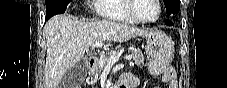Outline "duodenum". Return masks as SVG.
<instances>
[{"label":"duodenum","instance_id":"obj_1","mask_svg":"<svg viewBox=\"0 0 227 88\" xmlns=\"http://www.w3.org/2000/svg\"><path fill=\"white\" fill-rule=\"evenodd\" d=\"M97 64V59L96 58H90L86 61V66L88 68H93ZM125 84L124 80H119L116 88H121Z\"/></svg>","mask_w":227,"mask_h":88}]
</instances>
